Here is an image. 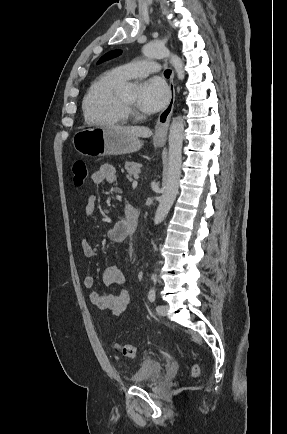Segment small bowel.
<instances>
[{"mask_svg":"<svg viewBox=\"0 0 287 434\" xmlns=\"http://www.w3.org/2000/svg\"><path fill=\"white\" fill-rule=\"evenodd\" d=\"M117 180L116 170L110 164H103L96 171L91 174V181L95 185L100 184H113ZM128 205L124 207L123 217H121L112 228L108 230V238L112 242H122L129 235L127 231V215L126 210ZM97 210V198L90 196L85 205L84 213L87 217H92ZM82 253L86 258H92L95 254L93 246L87 240H83L81 243ZM103 283L107 287L121 285L126 282V275L121 267L118 265L108 266L102 275ZM83 285L86 289H91L94 286V279L91 276H86L83 279ZM91 303L98 309L108 310L115 315L123 313L131 302V295L126 290H120L117 292H98L93 291L90 293Z\"/></svg>","mask_w":287,"mask_h":434,"instance_id":"1","label":"small bowel"}]
</instances>
